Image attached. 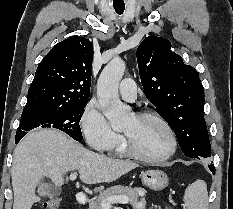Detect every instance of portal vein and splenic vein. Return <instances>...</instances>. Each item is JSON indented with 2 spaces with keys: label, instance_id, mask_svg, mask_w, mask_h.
I'll list each match as a JSON object with an SVG mask.
<instances>
[{
  "label": "portal vein and splenic vein",
  "instance_id": "1",
  "mask_svg": "<svg viewBox=\"0 0 233 209\" xmlns=\"http://www.w3.org/2000/svg\"><path fill=\"white\" fill-rule=\"evenodd\" d=\"M69 178L71 180H75L77 178L75 173L70 174ZM128 203V198L127 197H122V196H112L109 197L108 199L102 201V209H110L111 204H127Z\"/></svg>",
  "mask_w": 233,
  "mask_h": 209
}]
</instances>
